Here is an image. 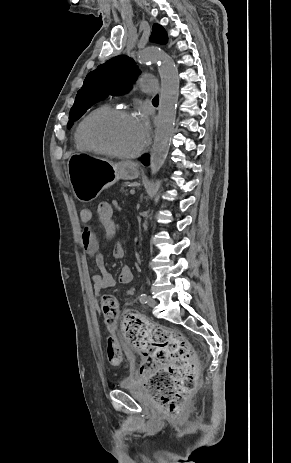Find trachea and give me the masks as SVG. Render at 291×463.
<instances>
[{"instance_id":"obj_1","label":"trachea","mask_w":291,"mask_h":463,"mask_svg":"<svg viewBox=\"0 0 291 463\" xmlns=\"http://www.w3.org/2000/svg\"><path fill=\"white\" fill-rule=\"evenodd\" d=\"M158 100H159V97H158V96H156V97L153 98V101H158Z\"/></svg>"}]
</instances>
